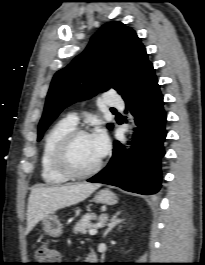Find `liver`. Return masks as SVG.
<instances>
[{
  "label": "liver",
  "instance_id": "1",
  "mask_svg": "<svg viewBox=\"0 0 205 265\" xmlns=\"http://www.w3.org/2000/svg\"><path fill=\"white\" fill-rule=\"evenodd\" d=\"M100 184L80 183L53 187H35L31 190L27 207V232L55 211L77 204L88 198Z\"/></svg>",
  "mask_w": 205,
  "mask_h": 265
}]
</instances>
